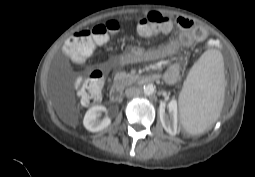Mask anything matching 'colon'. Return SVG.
Instances as JSON below:
<instances>
[{
    "instance_id": "colon-1",
    "label": "colon",
    "mask_w": 255,
    "mask_h": 177,
    "mask_svg": "<svg viewBox=\"0 0 255 177\" xmlns=\"http://www.w3.org/2000/svg\"><path fill=\"white\" fill-rule=\"evenodd\" d=\"M170 27V19L159 11L147 12L137 24V30L144 37L154 36L165 32ZM121 29L118 21H107L81 30L71 36L63 47L66 56L76 61L89 58L96 46L104 44L110 33H117ZM105 81L104 73L93 70L85 79L76 81V89L82 102L88 105L99 103Z\"/></svg>"
}]
</instances>
